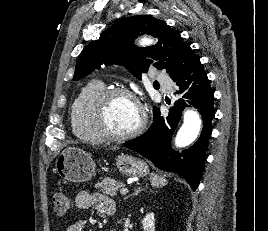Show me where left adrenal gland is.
I'll list each match as a JSON object with an SVG mask.
<instances>
[{
	"mask_svg": "<svg viewBox=\"0 0 268 231\" xmlns=\"http://www.w3.org/2000/svg\"><path fill=\"white\" fill-rule=\"evenodd\" d=\"M144 189H142L140 186L132 193L130 194L129 196L125 197L124 200H127L129 197L131 196H135V195H138L141 191H143Z\"/></svg>",
	"mask_w": 268,
	"mask_h": 231,
	"instance_id": "1",
	"label": "left adrenal gland"
}]
</instances>
